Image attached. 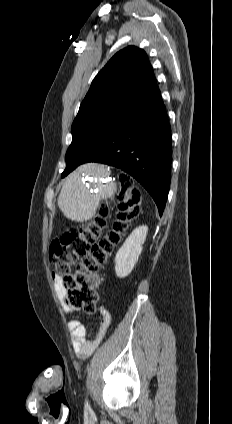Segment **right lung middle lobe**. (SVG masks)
I'll return each instance as SVG.
<instances>
[{
    "label": "right lung middle lobe",
    "mask_w": 232,
    "mask_h": 424,
    "mask_svg": "<svg viewBox=\"0 0 232 424\" xmlns=\"http://www.w3.org/2000/svg\"><path fill=\"white\" fill-rule=\"evenodd\" d=\"M132 106L111 103L98 105L79 112L72 124V143L66 153L65 177L116 128L129 119Z\"/></svg>",
    "instance_id": "1"
}]
</instances>
